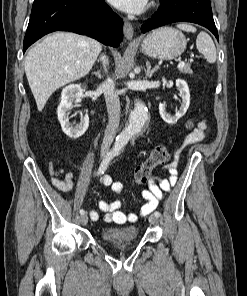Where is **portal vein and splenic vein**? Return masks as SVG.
Returning a JSON list of instances; mask_svg holds the SVG:
<instances>
[{
	"instance_id": "obj_1",
	"label": "portal vein and splenic vein",
	"mask_w": 247,
	"mask_h": 296,
	"mask_svg": "<svg viewBox=\"0 0 247 296\" xmlns=\"http://www.w3.org/2000/svg\"><path fill=\"white\" fill-rule=\"evenodd\" d=\"M184 65H185V62H184V61H179L177 67H178V68H182Z\"/></svg>"
}]
</instances>
